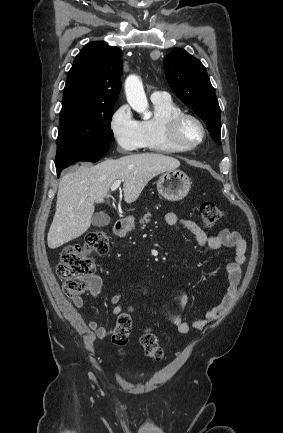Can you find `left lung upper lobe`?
Instances as JSON below:
<instances>
[{
	"label": "left lung upper lobe",
	"mask_w": 283,
	"mask_h": 433,
	"mask_svg": "<svg viewBox=\"0 0 283 433\" xmlns=\"http://www.w3.org/2000/svg\"><path fill=\"white\" fill-rule=\"evenodd\" d=\"M166 79L177 96L203 121L212 138L221 143L220 107L203 64L183 49L164 58Z\"/></svg>",
	"instance_id": "left-lung-upper-lobe-1"
}]
</instances>
